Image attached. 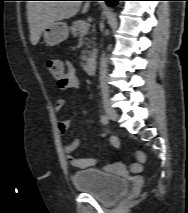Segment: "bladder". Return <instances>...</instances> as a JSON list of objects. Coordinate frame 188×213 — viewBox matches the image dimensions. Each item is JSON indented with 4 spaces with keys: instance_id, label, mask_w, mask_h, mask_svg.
<instances>
[{
    "instance_id": "1",
    "label": "bladder",
    "mask_w": 188,
    "mask_h": 213,
    "mask_svg": "<svg viewBox=\"0 0 188 213\" xmlns=\"http://www.w3.org/2000/svg\"><path fill=\"white\" fill-rule=\"evenodd\" d=\"M73 185L86 193L93 195L103 203H112L126 193V179L107 174L99 169L76 171L72 175Z\"/></svg>"
}]
</instances>
